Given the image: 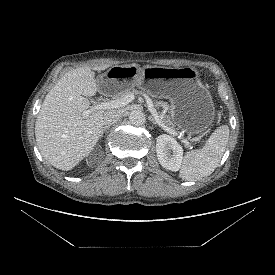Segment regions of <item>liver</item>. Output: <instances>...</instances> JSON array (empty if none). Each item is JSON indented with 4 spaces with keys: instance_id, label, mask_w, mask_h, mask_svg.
Returning a JSON list of instances; mask_svg holds the SVG:
<instances>
[{
    "instance_id": "obj_1",
    "label": "liver",
    "mask_w": 275,
    "mask_h": 275,
    "mask_svg": "<svg viewBox=\"0 0 275 275\" xmlns=\"http://www.w3.org/2000/svg\"><path fill=\"white\" fill-rule=\"evenodd\" d=\"M109 64L79 67L65 73L46 95L35 123V136L41 155L54 167L68 171L86 157L101 136L104 110L88 117L90 101L98 86L94 71Z\"/></svg>"
}]
</instances>
